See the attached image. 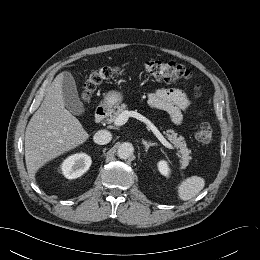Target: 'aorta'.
Wrapping results in <instances>:
<instances>
[{"label": "aorta", "instance_id": "obj_1", "mask_svg": "<svg viewBox=\"0 0 260 260\" xmlns=\"http://www.w3.org/2000/svg\"><path fill=\"white\" fill-rule=\"evenodd\" d=\"M134 152V147L129 142H124L119 145L117 155L121 159H128Z\"/></svg>", "mask_w": 260, "mask_h": 260}]
</instances>
